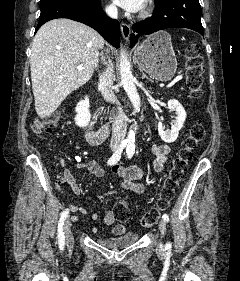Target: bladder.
<instances>
[{"instance_id":"31cf9c89","label":"bladder","mask_w":240,"mask_h":281,"mask_svg":"<svg viewBox=\"0 0 240 281\" xmlns=\"http://www.w3.org/2000/svg\"><path fill=\"white\" fill-rule=\"evenodd\" d=\"M139 239L137 233H126L119 237L100 239L98 243L109 249H124L135 244Z\"/></svg>"}]
</instances>
